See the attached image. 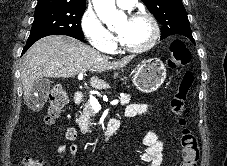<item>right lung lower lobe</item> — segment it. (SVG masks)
Wrapping results in <instances>:
<instances>
[{
	"label": "right lung lower lobe",
	"mask_w": 227,
	"mask_h": 166,
	"mask_svg": "<svg viewBox=\"0 0 227 166\" xmlns=\"http://www.w3.org/2000/svg\"><path fill=\"white\" fill-rule=\"evenodd\" d=\"M35 42H36V41L27 42L26 46L23 48L22 54H24V53L28 50V48H29L32 44H34Z\"/></svg>",
	"instance_id": "98d812e1"
}]
</instances>
